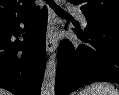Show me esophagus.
<instances>
[{
    "instance_id": "obj_1",
    "label": "esophagus",
    "mask_w": 119,
    "mask_h": 95,
    "mask_svg": "<svg viewBox=\"0 0 119 95\" xmlns=\"http://www.w3.org/2000/svg\"><path fill=\"white\" fill-rule=\"evenodd\" d=\"M56 22V14L51 8H49V25L46 34V50L48 53L54 52L57 48V40L54 35Z\"/></svg>"
}]
</instances>
